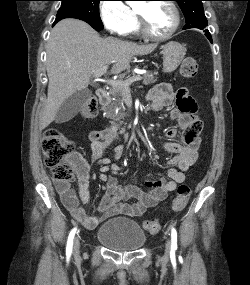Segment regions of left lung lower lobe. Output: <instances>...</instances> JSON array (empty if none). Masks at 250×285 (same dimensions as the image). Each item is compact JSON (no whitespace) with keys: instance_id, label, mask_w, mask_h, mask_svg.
<instances>
[{"instance_id":"0a47b994","label":"left lung lower lobe","mask_w":250,"mask_h":285,"mask_svg":"<svg viewBox=\"0 0 250 285\" xmlns=\"http://www.w3.org/2000/svg\"><path fill=\"white\" fill-rule=\"evenodd\" d=\"M206 37L212 42L211 35L208 31L205 32Z\"/></svg>"}]
</instances>
